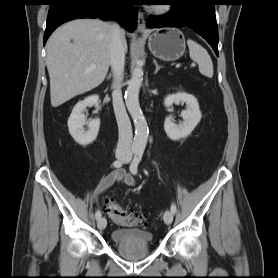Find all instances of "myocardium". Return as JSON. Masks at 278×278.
<instances>
[{
  "mask_svg": "<svg viewBox=\"0 0 278 278\" xmlns=\"http://www.w3.org/2000/svg\"><path fill=\"white\" fill-rule=\"evenodd\" d=\"M171 6L169 4H161V5H158V6H155L154 7V11L156 13H166L170 10Z\"/></svg>",
  "mask_w": 278,
  "mask_h": 278,
  "instance_id": "obj_1",
  "label": "myocardium"
}]
</instances>
